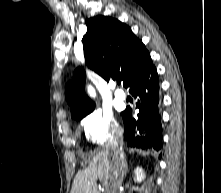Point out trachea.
I'll use <instances>...</instances> for the list:
<instances>
[{
  "mask_svg": "<svg viewBox=\"0 0 221 193\" xmlns=\"http://www.w3.org/2000/svg\"><path fill=\"white\" fill-rule=\"evenodd\" d=\"M117 83L120 84V80H117Z\"/></svg>",
  "mask_w": 221,
  "mask_h": 193,
  "instance_id": "3493384b",
  "label": "trachea"
}]
</instances>
